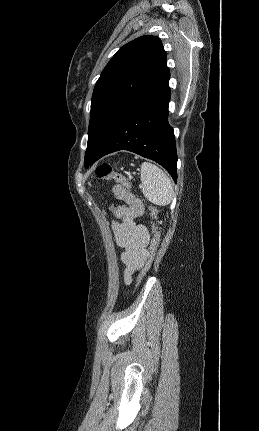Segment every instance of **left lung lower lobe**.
<instances>
[{
    "label": "left lung lower lobe",
    "mask_w": 259,
    "mask_h": 431,
    "mask_svg": "<svg viewBox=\"0 0 259 431\" xmlns=\"http://www.w3.org/2000/svg\"><path fill=\"white\" fill-rule=\"evenodd\" d=\"M170 73L116 124L89 164L119 150H128L163 166L177 181V153L168 123Z\"/></svg>",
    "instance_id": "obj_1"
}]
</instances>
